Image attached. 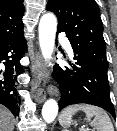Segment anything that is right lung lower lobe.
<instances>
[{
  "instance_id": "98d812e1",
  "label": "right lung lower lobe",
  "mask_w": 117,
  "mask_h": 131,
  "mask_svg": "<svg viewBox=\"0 0 117 131\" xmlns=\"http://www.w3.org/2000/svg\"><path fill=\"white\" fill-rule=\"evenodd\" d=\"M26 50L23 32L0 42V103L6 106L15 117L19 116L20 96L17 94V76L22 71L19 64Z\"/></svg>"
}]
</instances>
